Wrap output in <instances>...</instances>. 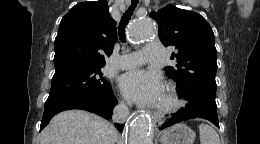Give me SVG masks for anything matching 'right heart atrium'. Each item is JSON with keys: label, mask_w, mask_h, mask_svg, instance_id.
<instances>
[{"label": "right heart atrium", "mask_w": 260, "mask_h": 144, "mask_svg": "<svg viewBox=\"0 0 260 144\" xmlns=\"http://www.w3.org/2000/svg\"><path fill=\"white\" fill-rule=\"evenodd\" d=\"M120 103H121V105H123V106H126V105H127V103H126L125 100H121Z\"/></svg>", "instance_id": "1"}]
</instances>
